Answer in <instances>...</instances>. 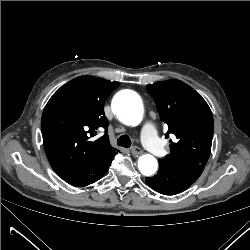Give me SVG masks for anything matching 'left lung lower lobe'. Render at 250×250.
<instances>
[{
    "mask_svg": "<svg viewBox=\"0 0 250 250\" xmlns=\"http://www.w3.org/2000/svg\"><path fill=\"white\" fill-rule=\"evenodd\" d=\"M202 165L167 166L159 164L154 177H146L147 184L164 195H175L190 187L201 175Z\"/></svg>",
    "mask_w": 250,
    "mask_h": 250,
    "instance_id": "1",
    "label": "left lung lower lobe"
}]
</instances>
